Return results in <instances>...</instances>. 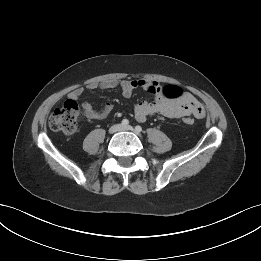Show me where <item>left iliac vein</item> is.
Instances as JSON below:
<instances>
[{"label": "left iliac vein", "instance_id": "1", "mask_svg": "<svg viewBox=\"0 0 261 261\" xmlns=\"http://www.w3.org/2000/svg\"><path fill=\"white\" fill-rule=\"evenodd\" d=\"M133 130V128H132V126H130V125H128V126H123L122 128H121V131H132Z\"/></svg>", "mask_w": 261, "mask_h": 261}]
</instances>
